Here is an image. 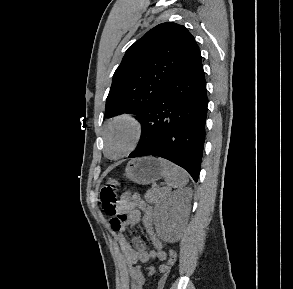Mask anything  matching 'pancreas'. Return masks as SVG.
<instances>
[{"label": "pancreas", "mask_w": 293, "mask_h": 289, "mask_svg": "<svg viewBox=\"0 0 293 289\" xmlns=\"http://www.w3.org/2000/svg\"><path fill=\"white\" fill-rule=\"evenodd\" d=\"M166 190L162 188H151L145 194V199L148 203L156 204L166 196Z\"/></svg>", "instance_id": "cf45deb5"}]
</instances>
